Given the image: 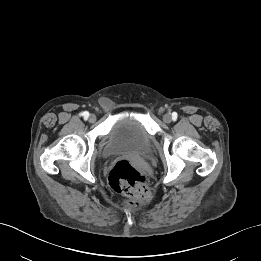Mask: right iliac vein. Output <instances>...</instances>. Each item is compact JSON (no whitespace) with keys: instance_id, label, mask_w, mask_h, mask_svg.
Instances as JSON below:
<instances>
[{"instance_id":"1","label":"right iliac vein","mask_w":261,"mask_h":261,"mask_svg":"<svg viewBox=\"0 0 261 261\" xmlns=\"http://www.w3.org/2000/svg\"><path fill=\"white\" fill-rule=\"evenodd\" d=\"M96 121V116L94 114L89 115V122L94 123Z\"/></svg>"}]
</instances>
